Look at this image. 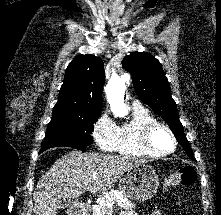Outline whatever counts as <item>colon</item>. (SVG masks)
Wrapping results in <instances>:
<instances>
[{
  "instance_id": "5ec220e1",
  "label": "colon",
  "mask_w": 221,
  "mask_h": 215,
  "mask_svg": "<svg viewBox=\"0 0 221 215\" xmlns=\"http://www.w3.org/2000/svg\"><path fill=\"white\" fill-rule=\"evenodd\" d=\"M197 180V172L191 166H186L177 172H173L165 179L164 185L167 189L179 185H191Z\"/></svg>"
}]
</instances>
